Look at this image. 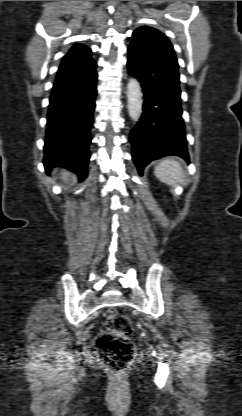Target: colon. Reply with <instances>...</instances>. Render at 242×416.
I'll list each match as a JSON object with an SVG mask.
<instances>
[{
	"label": "colon",
	"mask_w": 242,
	"mask_h": 416,
	"mask_svg": "<svg viewBox=\"0 0 242 416\" xmlns=\"http://www.w3.org/2000/svg\"><path fill=\"white\" fill-rule=\"evenodd\" d=\"M133 325L123 313H111L106 322V329L95 340V350L107 366L115 371H123L134 359L135 345L130 336Z\"/></svg>",
	"instance_id": "colon-1"
}]
</instances>
